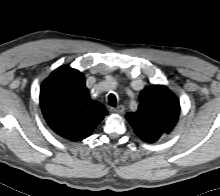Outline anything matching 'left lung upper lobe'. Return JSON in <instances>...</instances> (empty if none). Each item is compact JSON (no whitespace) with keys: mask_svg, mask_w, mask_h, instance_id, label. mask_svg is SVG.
Returning a JSON list of instances; mask_svg holds the SVG:
<instances>
[{"mask_svg":"<svg viewBox=\"0 0 220 196\" xmlns=\"http://www.w3.org/2000/svg\"><path fill=\"white\" fill-rule=\"evenodd\" d=\"M139 100L138 110L127 113L126 119L141 140L154 143L175 126L180 112L179 100L163 85L145 87Z\"/></svg>","mask_w":220,"mask_h":196,"instance_id":"5c2ea615","label":"left lung upper lobe"}]
</instances>
